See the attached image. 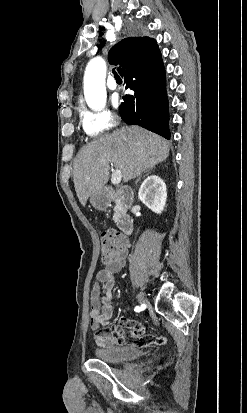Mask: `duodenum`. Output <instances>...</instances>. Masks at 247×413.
Masks as SVG:
<instances>
[{"label": "duodenum", "instance_id": "410a0bca", "mask_svg": "<svg viewBox=\"0 0 247 413\" xmlns=\"http://www.w3.org/2000/svg\"><path fill=\"white\" fill-rule=\"evenodd\" d=\"M109 198L116 201L117 224L119 229L127 235L133 232V221L126 214L133 204V191L127 186L108 189Z\"/></svg>", "mask_w": 247, "mask_h": 413}]
</instances>
